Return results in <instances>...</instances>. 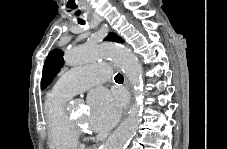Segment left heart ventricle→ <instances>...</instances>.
Instances as JSON below:
<instances>
[{"label": "left heart ventricle", "instance_id": "1", "mask_svg": "<svg viewBox=\"0 0 227 149\" xmlns=\"http://www.w3.org/2000/svg\"><path fill=\"white\" fill-rule=\"evenodd\" d=\"M74 120L83 123L86 120V115L85 113H78L76 116L73 117Z\"/></svg>", "mask_w": 227, "mask_h": 149}]
</instances>
